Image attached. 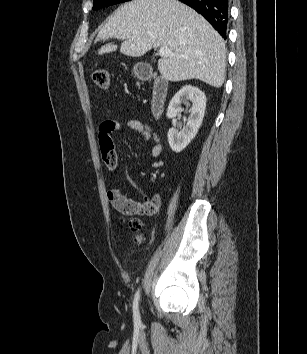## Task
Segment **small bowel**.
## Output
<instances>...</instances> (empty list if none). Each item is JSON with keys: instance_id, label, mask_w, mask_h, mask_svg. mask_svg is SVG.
<instances>
[{"instance_id": "obj_1", "label": "small bowel", "mask_w": 307, "mask_h": 354, "mask_svg": "<svg viewBox=\"0 0 307 354\" xmlns=\"http://www.w3.org/2000/svg\"><path fill=\"white\" fill-rule=\"evenodd\" d=\"M126 127L141 134L145 141L153 143L150 153L152 159L161 155L163 150L161 140L150 125L137 119H129L126 122ZM121 128V123L116 120L103 121L99 127V143L102 158L109 170H115L117 168L118 158L114 148L112 134L120 131ZM108 198L118 210L127 209L133 214L139 213L145 206H148L151 208V212L146 213L145 215L147 216L153 215L160 203L158 195H154L151 199L144 202H136L132 199H128L116 189H112L108 192Z\"/></svg>"}]
</instances>
